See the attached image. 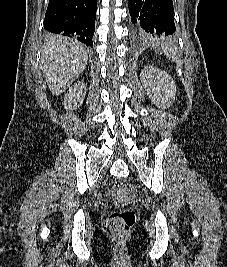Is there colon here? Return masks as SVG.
<instances>
[{"mask_svg": "<svg viewBox=\"0 0 227 267\" xmlns=\"http://www.w3.org/2000/svg\"><path fill=\"white\" fill-rule=\"evenodd\" d=\"M111 192L114 202L119 205H125L133 199L132 187L125 181L116 182ZM135 219L131 210H117L108 216L105 228L115 244L122 245L127 242Z\"/></svg>", "mask_w": 227, "mask_h": 267, "instance_id": "1", "label": "colon"}]
</instances>
